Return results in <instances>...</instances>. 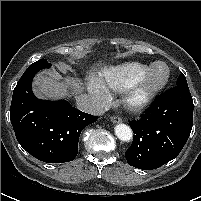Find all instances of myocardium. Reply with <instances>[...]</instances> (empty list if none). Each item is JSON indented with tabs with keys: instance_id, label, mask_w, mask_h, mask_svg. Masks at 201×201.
Segmentation results:
<instances>
[{
	"instance_id": "obj_1",
	"label": "myocardium",
	"mask_w": 201,
	"mask_h": 201,
	"mask_svg": "<svg viewBox=\"0 0 201 201\" xmlns=\"http://www.w3.org/2000/svg\"><path fill=\"white\" fill-rule=\"evenodd\" d=\"M158 64L165 66L166 76L160 83L147 86L146 79L152 69ZM170 75L171 72L167 63L163 61L152 63L142 75L124 89L123 103L125 107L132 112H141L147 109L154 102L158 94L167 86Z\"/></svg>"
}]
</instances>
